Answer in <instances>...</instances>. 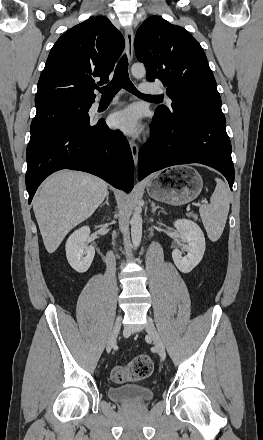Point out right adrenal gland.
Instances as JSON below:
<instances>
[{
	"mask_svg": "<svg viewBox=\"0 0 263 440\" xmlns=\"http://www.w3.org/2000/svg\"><path fill=\"white\" fill-rule=\"evenodd\" d=\"M107 205V206H109V193L106 195V200H105V202L104 203H102L101 205H100V207H102L103 205Z\"/></svg>",
	"mask_w": 263,
	"mask_h": 440,
	"instance_id": "obj_1",
	"label": "right adrenal gland"
}]
</instances>
